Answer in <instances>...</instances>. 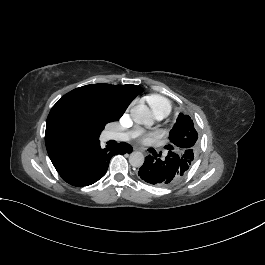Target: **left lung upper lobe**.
Wrapping results in <instances>:
<instances>
[{
	"mask_svg": "<svg viewBox=\"0 0 265 265\" xmlns=\"http://www.w3.org/2000/svg\"><path fill=\"white\" fill-rule=\"evenodd\" d=\"M170 143L166 146L168 153L179 156L183 164L184 175L191 167L198 150V134L193 121L188 115L179 114L170 131Z\"/></svg>",
	"mask_w": 265,
	"mask_h": 265,
	"instance_id": "5c2ea615",
	"label": "left lung upper lobe"
}]
</instances>
